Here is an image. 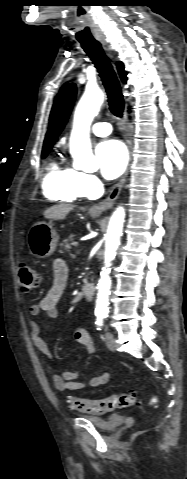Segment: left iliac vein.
<instances>
[{"label": "left iliac vein", "mask_w": 187, "mask_h": 479, "mask_svg": "<svg viewBox=\"0 0 187 479\" xmlns=\"http://www.w3.org/2000/svg\"><path fill=\"white\" fill-rule=\"evenodd\" d=\"M105 343L111 351L115 350V339L109 330H107L105 333Z\"/></svg>", "instance_id": "left-iliac-vein-1"}]
</instances>
